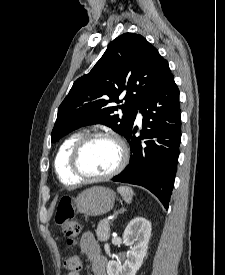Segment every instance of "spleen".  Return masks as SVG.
<instances>
[{
	"instance_id": "1",
	"label": "spleen",
	"mask_w": 225,
	"mask_h": 275,
	"mask_svg": "<svg viewBox=\"0 0 225 275\" xmlns=\"http://www.w3.org/2000/svg\"><path fill=\"white\" fill-rule=\"evenodd\" d=\"M117 191L127 203H130L132 201L134 195L132 188L128 186H120L117 188Z\"/></svg>"
}]
</instances>
